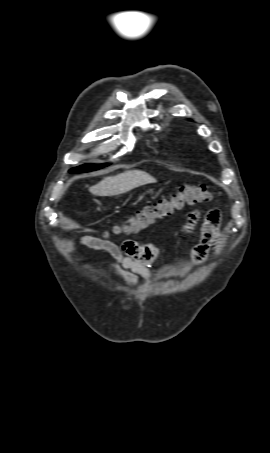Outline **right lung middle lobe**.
Returning a JSON list of instances; mask_svg holds the SVG:
<instances>
[{
    "label": "right lung middle lobe",
    "instance_id": "1",
    "mask_svg": "<svg viewBox=\"0 0 270 453\" xmlns=\"http://www.w3.org/2000/svg\"><path fill=\"white\" fill-rule=\"evenodd\" d=\"M104 166L105 165H92V164L84 165V166L73 168L69 172L70 173L88 172V171L103 168Z\"/></svg>",
    "mask_w": 270,
    "mask_h": 453
}]
</instances>
